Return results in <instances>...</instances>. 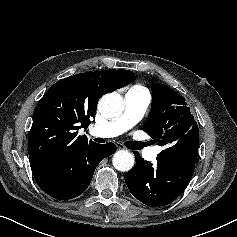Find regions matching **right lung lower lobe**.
I'll return each mask as SVG.
<instances>
[{"label": "right lung lower lobe", "mask_w": 237, "mask_h": 237, "mask_svg": "<svg viewBox=\"0 0 237 237\" xmlns=\"http://www.w3.org/2000/svg\"><path fill=\"white\" fill-rule=\"evenodd\" d=\"M115 151L114 143L89 142L50 164L33 169V175L50 196L58 200L71 199L87 189L97 165Z\"/></svg>", "instance_id": "right-lung-lower-lobe-1"}]
</instances>
